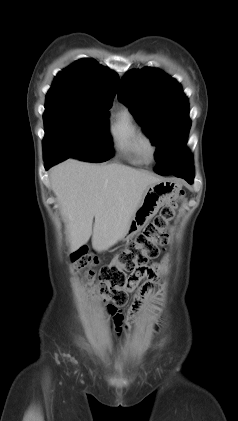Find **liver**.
<instances>
[{"label":"liver","mask_w":238,"mask_h":421,"mask_svg":"<svg viewBox=\"0 0 238 421\" xmlns=\"http://www.w3.org/2000/svg\"><path fill=\"white\" fill-rule=\"evenodd\" d=\"M162 179L112 163L98 165L66 160L50 172L71 249L85 245L106 250L124 236L147 187ZM95 222L93 225V219Z\"/></svg>","instance_id":"6515ba94"}]
</instances>
